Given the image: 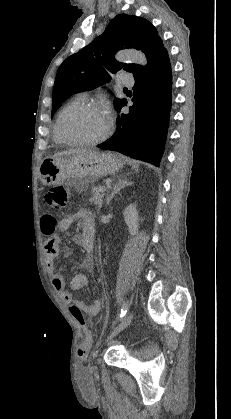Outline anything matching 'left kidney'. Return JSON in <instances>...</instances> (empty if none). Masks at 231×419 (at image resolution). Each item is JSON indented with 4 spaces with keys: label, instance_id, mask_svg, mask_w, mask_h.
<instances>
[{
    "label": "left kidney",
    "instance_id": "left-kidney-1",
    "mask_svg": "<svg viewBox=\"0 0 231 419\" xmlns=\"http://www.w3.org/2000/svg\"><path fill=\"white\" fill-rule=\"evenodd\" d=\"M124 220L127 226L129 227V231L131 234H135L138 230V211L136 210V205L130 204L124 210Z\"/></svg>",
    "mask_w": 231,
    "mask_h": 419
}]
</instances>
